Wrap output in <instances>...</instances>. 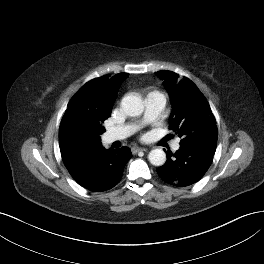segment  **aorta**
<instances>
[{
  "label": "aorta",
  "mask_w": 264,
  "mask_h": 264,
  "mask_svg": "<svg viewBox=\"0 0 264 264\" xmlns=\"http://www.w3.org/2000/svg\"><path fill=\"white\" fill-rule=\"evenodd\" d=\"M121 107L129 116H139L144 111L142 99L133 94H127L121 101ZM148 159L154 166H162L166 162V154L162 149H153L149 152Z\"/></svg>",
  "instance_id": "aorta-1"
}]
</instances>
